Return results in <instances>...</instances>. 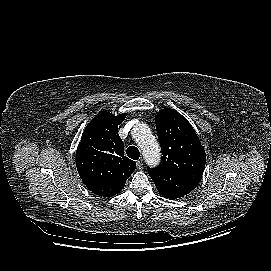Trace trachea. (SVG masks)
Segmentation results:
<instances>
[{
	"label": "trachea",
	"mask_w": 271,
	"mask_h": 271,
	"mask_svg": "<svg viewBox=\"0 0 271 271\" xmlns=\"http://www.w3.org/2000/svg\"><path fill=\"white\" fill-rule=\"evenodd\" d=\"M126 154L129 158L133 159V160H138L140 157V152L139 150L134 147V146H130L127 148Z\"/></svg>",
	"instance_id": "obj_1"
}]
</instances>
